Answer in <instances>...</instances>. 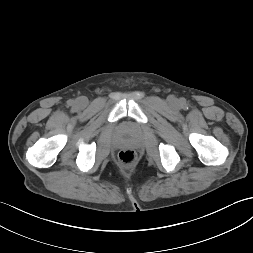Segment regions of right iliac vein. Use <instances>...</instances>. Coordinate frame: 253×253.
<instances>
[{
	"mask_svg": "<svg viewBox=\"0 0 253 253\" xmlns=\"http://www.w3.org/2000/svg\"><path fill=\"white\" fill-rule=\"evenodd\" d=\"M86 104H87V100H86L85 98H80V99L77 101V105H78L79 107H84V106H86Z\"/></svg>",
	"mask_w": 253,
	"mask_h": 253,
	"instance_id": "1",
	"label": "right iliac vein"
}]
</instances>
